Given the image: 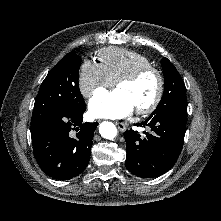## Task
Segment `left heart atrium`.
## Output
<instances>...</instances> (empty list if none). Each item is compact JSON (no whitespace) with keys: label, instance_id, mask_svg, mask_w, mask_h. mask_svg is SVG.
Listing matches in <instances>:
<instances>
[{"label":"left heart atrium","instance_id":"1","mask_svg":"<svg viewBox=\"0 0 221 221\" xmlns=\"http://www.w3.org/2000/svg\"><path fill=\"white\" fill-rule=\"evenodd\" d=\"M134 110L133 103L119 89L99 91L89 101V111L94 117L122 118L132 114Z\"/></svg>","mask_w":221,"mask_h":221}]
</instances>
